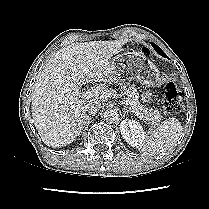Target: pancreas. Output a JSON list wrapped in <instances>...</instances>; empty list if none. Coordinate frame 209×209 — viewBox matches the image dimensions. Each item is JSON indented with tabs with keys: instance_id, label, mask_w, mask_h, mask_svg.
Instances as JSON below:
<instances>
[{
	"instance_id": "1",
	"label": "pancreas",
	"mask_w": 209,
	"mask_h": 209,
	"mask_svg": "<svg viewBox=\"0 0 209 209\" xmlns=\"http://www.w3.org/2000/svg\"><path fill=\"white\" fill-rule=\"evenodd\" d=\"M128 108L140 119L145 121H151L153 125H157L161 120L162 116L158 110H153L152 108H144L139 102L138 91L135 85H129L127 88L123 86Z\"/></svg>"
}]
</instances>
